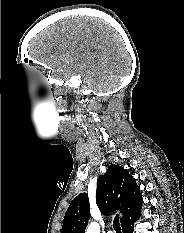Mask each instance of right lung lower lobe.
<instances>
[{
    "label": "right lung lower lobe",
    "mask_w": 184,
    "mask_h": 233,
    "mask_svg": "<svg viewBox=\"0 0 184 233\" xmlns=\"http://www.w3.org/2000/svg\"><path fill=\"white\" fill-rule=\"evenodd\" d=\"M140 217V212L132 217L130 220L122 224L123 233H133L134 222Z\"/></svg>",
    "instance_id": "obj_1"
}]
</instances>
